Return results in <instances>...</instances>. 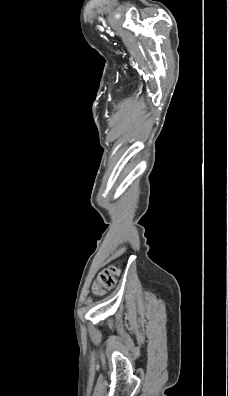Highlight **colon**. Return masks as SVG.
<instances>
[{
	"label": "colon",
	"mask_w": 228,
	"mask_h": 396,
	"mask_svg": "<svg viewBox=\"0 0 228 396\" xmlns=\"http://www.w3.org/2000/svg\"><path fill=\"white\" fill-rule=\"evenodd\" d=\"M120 270L116 265H109L103 269L97 276V279L93 286V292L96 295H100L106 289H111L116 285L117 277L119 276Z\"/></svg>",
	"instance_id": "colon-1"
}]
</instances>
